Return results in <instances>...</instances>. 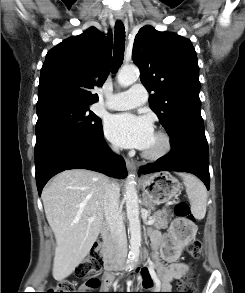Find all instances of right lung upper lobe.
I'll return each instance as SVG.
<instances>
[{
  "label": "right lung upper lobe",
  "instance_id": "obj_1",
  "mask_svg": "<svg viewBox=\"0 0 245 293\" xmlns=\"http://www.w3.org/2000/svg\"><path fill=\"white\" fill-rule=\"evenodd\" d=\"M111 53V32L105 36L95 27L59 43L47 53L42 66L37 108L97 102L98 95L91 89L102 86L109 75Z\"/></svg>",
  "mask_w": 245,
  "mask_h": 293
}]
</instances>
